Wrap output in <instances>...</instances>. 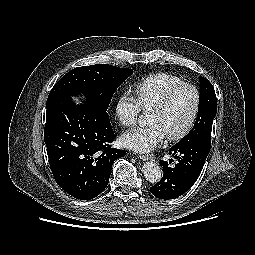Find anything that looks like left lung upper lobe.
I'll return each mask as SVG.
<instances>
[{"label":"left lung upper lobe","instance_id":"1","mask_svg":"<svg viewBox=\"0 0 255 255\" xmlns=\"http://www.w3.org/2000/svg\"><path fill=\"white\" fill-rule=\"evenodd\" d=\"M200 95L197 119L193 129L174 146H183L200 140L211 142L212 124L217 112V99L212 84L199 78Z\"/></svg>","mask_w":255,"mask_h":255}]
</instances>
